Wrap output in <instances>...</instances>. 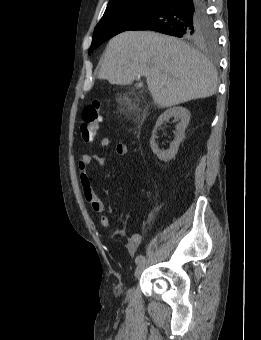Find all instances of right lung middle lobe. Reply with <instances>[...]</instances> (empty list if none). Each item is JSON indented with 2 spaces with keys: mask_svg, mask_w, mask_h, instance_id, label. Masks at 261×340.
<instances>
[{
  "mask_svg": "<svg viewBox=\"0 0 261 340\" xmlns=\"http://www.w3.org/2000/svg\"><path fill=\"white\" fill-rule=\"evenodd\" d=\"M160 1H135L124 5L106 9L93 34L89 54L106 40L118 33L129 30L135 23L153 11ZM184 39L202 43L213 47L216 44V32L211 18L205 14L197 21L191 23L184 30Z\"/></svg>",
  "mask_w": 261,
  "mask_h": 340,
  "instance_id": "obj_1",
  "label": "right lung middle lobe"
}]
</instances>
